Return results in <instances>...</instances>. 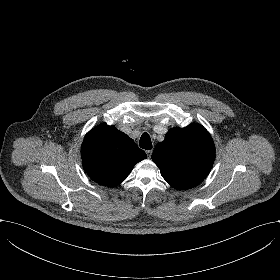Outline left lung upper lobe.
<instances>
[{"instance_id":"left-lung-upper-lobe-1","label":"left lung upper lobe","mask_w":280,"mask_h":280,"mask_svg":"<svg viewBox=\"0 0 280 280\" xmlns=\"http://www.w3.org/2000/svg\"><path fill=\"white\" fill-rule=\"evenodd\" d=\"M214 159L213 140L199 124L170 129L152 154L162 177L175 189L192 188L202 182Z\"/></svg>"}]
</instances>
